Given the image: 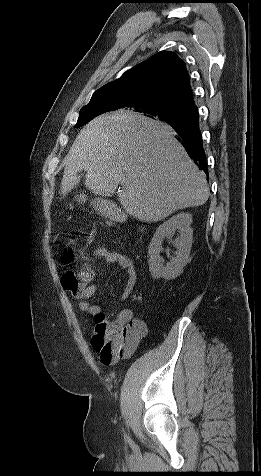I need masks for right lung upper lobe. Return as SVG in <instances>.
I'll use <instances>...</instances> for the list:
<instances>
[{
    "instance_id": "obj_1",
    "label": "right lung upper lobe",
    "mask_w": 261,
    "mask_h": 476,
    "mask_svg": "<svg viewBox=\"0 0 261 476\" xmlns=\"http://www.w3.org/2000/svg\"><path fill=\"white\" fill-rule=\"evenodd\" d=\"M115 96L120 110L159 103L189 111L195 108L185 63L173 52L162 51L96 90L91 101Z\"/></svg>"
}]
</instances>
